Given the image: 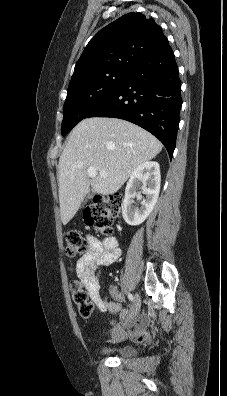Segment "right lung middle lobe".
Instances as JSON below:
<instances>
[{"label": "right lung middle lobe", "instance_id": "right-lung-middle-lobe-1", "mask_svg": "<svg viewBox=\"0 0 227 396\" xmlns=\"http://www.w3.org/2000/svg\"><path fill=\"white\" fill-rule=\"evenodd\" d=\"M130 73L131 70H108L68 87L63 108L62 135H66L91 110L110 97Z\"/></svg>", "mask_w": 227, "mask_h": 396}]
</instances>
